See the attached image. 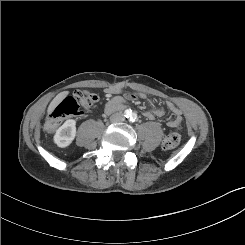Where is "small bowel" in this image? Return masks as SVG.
Segmentation results:
<instances>
[{"instance_id": "obj_1", "label": "small bowel", "mask_w": 245, "mask_h": 245, "mask_svg": "<svg viewBox=\"0 0 245 245\" xmlns=\"http://www.w3.org/2000/svg\"><path fill=\"white\" fill-rule=\"evenodd\" d=\"M123 89V86H110L106 89V93L111 96V99L108 101L106 105L105 112L111 113L116 110H120L124 106V99L121 96H118L117 94L121 92ZM138 97L145 98L146 96L144 94L136 95L134 93H127L125 95V98L128 100H136ZM167 107L172 111V113L175 115V118H167L166 119V125L171 128L178 127L182 122V111L180 108H178L174 103L167 102ZM164 114V109L161 107H154L150 111H146L144 113V116L152 120L155 116H162Z\"/></svg>"}]
</instances>
